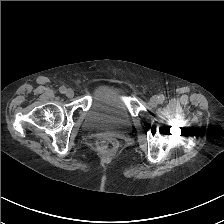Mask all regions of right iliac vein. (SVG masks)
<instances>
[{
	"mask_svg": "<svg viewBox=\"0 0 224 224\" xmlns=\"http://www.w3.org/2000/svg\"><path fill=\"white\" fill-rule=\"evenodd\" d=\"M66 96H67L68 98H72V97L74 96V91H73L72 89H68V90L66 91Z\"/></svg>",
	"mask_w": 224,
	"mask_h": 224,
	"instance_id": "1",
	"label": "right iliac vein"
}]
</instances>
